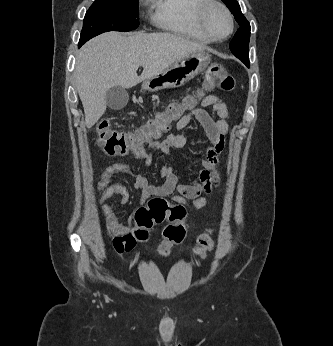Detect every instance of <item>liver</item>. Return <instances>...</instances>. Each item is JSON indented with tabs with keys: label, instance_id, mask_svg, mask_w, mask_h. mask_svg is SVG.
<instances>
[{
	"label": "liver",
	"instance_id": "obj_1",
	"mask_svg": "<svg viewBox=\"0 0 333 346\" xmlns=\"http://www.w3.org/2000/svg\"><path fill=\"white\" fill-rule=\"evenodd\" d=\"M205 49L172 33L108 32L91 39L79 51L75 68L86 127L91 128L106 111L105 96L110 88H131L190 53ZM139 66L143 67L140 76Z\"/></svg>",
	"mask_w": 333,
	"mask_h": 346
}]
</instances>
